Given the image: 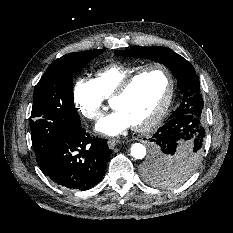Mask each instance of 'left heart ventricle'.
<instances>
[{"label":"left heart ventricle","mask_w":233,"mask_h":233,"mask_svg":"<svg viewBox=\"0 0 233 233\" xmlns=\"http://www.w3.org/2000/svg\"><path fill=\"white\" fill-rule=\"evenodd\" d=\"M168 89L166 74L160 69L145 72L132 85L128 93L112 102L115 110L122 111L132 125L148 121L161 107Z\"/></svg>","instance_id":"b2bd125f"}]
</instances>
